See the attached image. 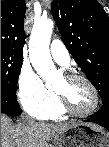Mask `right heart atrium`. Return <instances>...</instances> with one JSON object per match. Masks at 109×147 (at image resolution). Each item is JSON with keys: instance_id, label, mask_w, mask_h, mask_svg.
<instances>
[{"instance_id": "obj_1", "label": "right heart atrium", "mask_w": 109, "mask_h": 147, "mask_svg": "<svg viewBox=\"0 0 109 147\" xmlns=\"http://www.w3.org/2000/svg\"><path fill=\"white\" fill-rule=\"evenodd\" d=\"M17 96L20 104L30 114L50 108L56 95L47 89L30 67H22L18 78Z\"/></svg>"}]
</instances>
